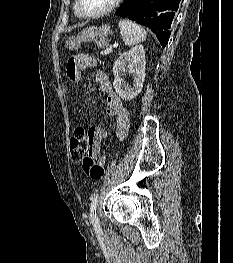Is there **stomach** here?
Here are the masks:
<instances>
[{
    "mask_svg": "<svg viewBox=\"0 0 233 263\" xmlns=\"http://www.w3.org/2000/svg\"><path fill=\"white\" fill-rule=\"evenodd\" d=\"M112 33L109 25H102L100 27L91 26L76 36L69 37L66 40L65 46L70 50L78 49L82 42H93L99 40H106L107 36Z\"/></svg>",
    "mask_w": 233,
    "mask_h": 263,
    "instance_id": "0dacf381",
    "label": "stomach"
}]
</instances>
